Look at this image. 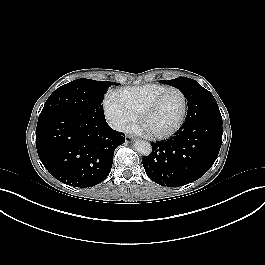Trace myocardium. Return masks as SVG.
I'll return each mask as SVG.
<instances>
[{"label":"myocardium","mask_w":265,"mask_h":265,"mask_svg":"<svg viewBox=\"0 0 265 265\" xmlns=\"http://www.w3.org/2000/svg\"><path fill=\"white\" fill-rule=\"evenodd\" d=\"M170 91L178 92L182 98V112H181V116H180L178 122L175 124V126L173 128H171L170 130H168L166 132L153 133V132L146 130L144 127V120L146 119L148 114L157 106L160 99L166 93H168ZM187 109H188V103H187V97H186L185 93L181 89L174 87V86L166 87L164 90L159 92L141 112V114L139 116V126L141 128V131H143L145 136L150 138V139L162 140V139L169 138V137L173 136L175 133H177L180 130V128L182 127V125L184 124L185 119H186V115H187Z\"/></svg>","instance_id":"f54148a6"}]
</instances>
